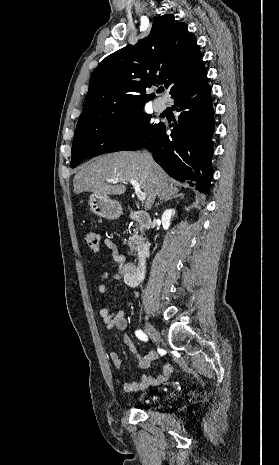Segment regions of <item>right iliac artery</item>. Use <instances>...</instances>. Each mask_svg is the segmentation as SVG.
Masks as SVG:
<instances>
[{
  "label": "right iliac artery",
  "mask_w": 279,
  "mask_h": 465,
  "mask_svg": "<svg viewBox=\"0 0 279 465\" xmlns=\"http://www.w3.org/2000/svg\"><path fill=\"white\" fill-rule=\"evenodd\" d=\"M136 336L143 341H147V336L141 330L136 331Z\"/></svg>",
  "instance_id": "82829eb1"
}]
</instances>
